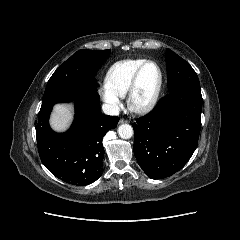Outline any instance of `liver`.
I'll return each instance as SVG.
<instances>
[{
  "instance_id": "liver-1",
  "label": "liver",
  "mask_w": 240,
  "mask_h": 240,
  "mask_svg": "<svg viewBox=\"0 0 240 240\" xmlns=\"http://www.w3.org/2000/svg\"><path fill=\"white\" fill-rule=\"evenodd\" d=\"M73 109L69 105H56L51 115L50 125L57 132L65 131L71 124Z\"/></svg>"
}]
</instances>
